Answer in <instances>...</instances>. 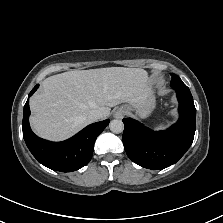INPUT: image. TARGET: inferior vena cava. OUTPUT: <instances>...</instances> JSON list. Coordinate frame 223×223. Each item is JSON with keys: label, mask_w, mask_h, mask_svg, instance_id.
<instances>
[{"label": "inferior vena cava", "mask_w": 223, "mask_h": 223, "mask_svg": "<svg viewBox=\"0 0 223 223\" xmlns=\"http://www.w3.org/2000/svg\"><path fill=\"white\" fill-rule=\"evenodd\" d=\"M89 120L91 121H96L98 119L103 118V113L102 111L96 109V110H92L90 111L89 115H88Z\"/></svg>", "instance_id": "602c4592"}]
</instances>
